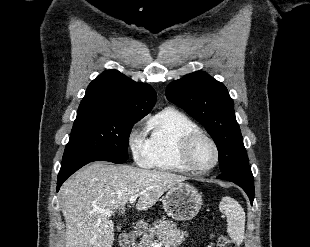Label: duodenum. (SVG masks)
<instances>
[{"label":"duodenum","mask_w":310,"mask_h":247,"mask_svg":"<svg viewBox=\"0 0 310 247\" xmlns=\"http://www.w3.org/2000/svg\"><path fill=\"white\" fill-rule=\"evenodd\" d=\"M120 247H132L133 240L129 233H122L119 237Z\"/></svg>","instance_id":"1"}]
</instances>
